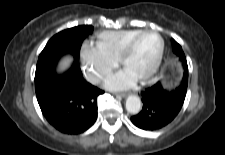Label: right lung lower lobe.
I'll use <instances>...</instances> for the list:
<instances>
[{"mask_svg":"<svg viewBox=\"0 0 225 155\" xmlns=\"http://www.w3.org/2000/svg\"><path fill=\"white\" fill-rule=\"evenodd\" d=\"M39 106L47 121L66 134H79L97 118V96L104 91L83 79L79 62L59 75L53 68L35 80Z\"/></svg>","mask_w":225,"mask_h":155,"instance_id":"98d812e1","label":"right lung lower lobe"}]
</instances>
